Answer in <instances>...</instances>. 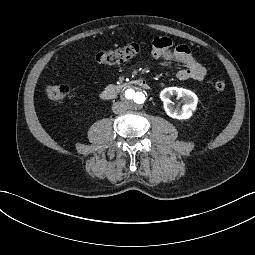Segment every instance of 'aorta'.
Masks as SVG:
<instances>
[{
	"instance_id": "aorta-1",
	"label": "aorta",
	"mask_w": 255,
	"mask_h": 255,
	"mask_svg": "<svg viewBox=\"0 0 255 255\" xmlns=\"http://www.w3.org/2000/svg\"><path fill=\"white\" fill-rule=\"evenodd\" d=\"M123 98L130 107H141L146 100L143 91L137 87L126 89L123 93Z\"/></svg>"
}]
</instances>
